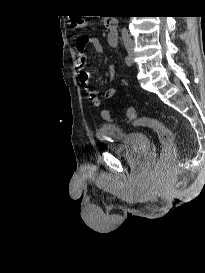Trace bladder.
<instances>
[{
    "instance_id": "obj_1",
    "label": "bladder",
    "mask_w": 205,
    "mask_h": 273,
    "mask_svg": "<svg viewBox=\"0 0 205 273\" xmlns=\"http://www.w3.org/2000/svg\"><path fill=\"white\" fill-rule=\"evenodd\" d=\"M98 133L111 152L131 161L142 159L150 149V138L141 131L124 132L115 124H103Z\"/></svg>"
}]
</instances>
